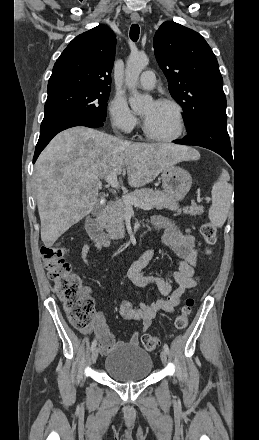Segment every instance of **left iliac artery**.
Instances as JSON below:
<instances>
[{
	"mask_svg": "<svg viewBox=\"0 0 259 440\" xmlns=\"http://www.w3.org/2000/svg\"><path fill=\"white\" fill-rule=\"evenodd\" d=\"M164 350L166 351L167 354H169V347L167 344H164Z\"/></svg>",
	"mask_w": 259,
	"mask_h": 440,
	"instance_id": "1",
	"label": "left iliac artery"
}]
</instances>
